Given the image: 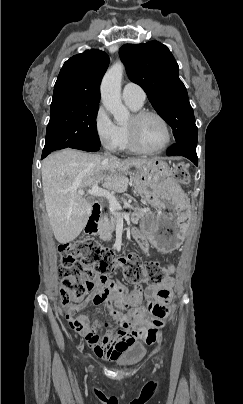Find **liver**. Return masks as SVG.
I'll list each match as a JSON object with an SVG mask.
<instances>
[{"label": "liver", "mask_w": 243, "mask_h": 404, "mask_svg": "<svg viewBox=\"0 0 243 404\" xmlns=\"http://www.w3.org/2000/svg\"><path fill=\"white\" fill-rule=\"evenodd\" d=\"M153 160H118L69 148L47 156L42 162V186L49 224L57 242H73L88 222L92 208L78 190L104 182L103 188L122 194L128 188L126 176L130 168H141ZM106 170L109 174H105Z\"/></svg>", "instance_id": "obj_1"}]
</instances>
